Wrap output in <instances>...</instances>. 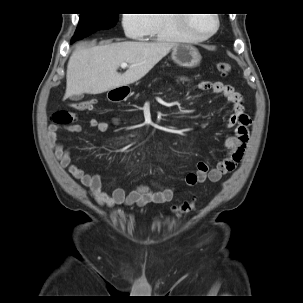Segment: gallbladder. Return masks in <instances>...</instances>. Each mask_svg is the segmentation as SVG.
<instances>
[{
	"mask_svg": "<svg viewBox=\"0 0 303 303\" xmlns=\"http://www.w3.org/2000/svg\"><path fill=\"white\" fill-rule=\"evenodd\" d=\"M71 99L77 101L81 99V96H72Z\"/></svg>",
	"mask_w": 303,
	"mask_h": 303,
	"instance_id": "gallbladder-1",
	"label": "gallbladder"
}]
</instances>
